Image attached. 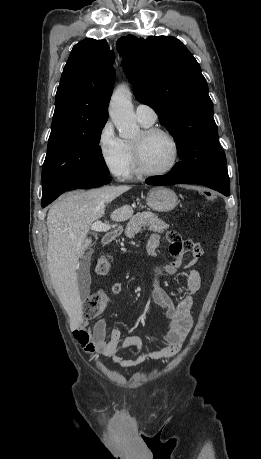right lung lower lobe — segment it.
<instances>
[{"label": "right lung lower lobe", "instance_id": "98d812e1", "mask_svg": "<svg viewBox=\"0 0 261 459\" xmlns=\"http://www.w3.org/2000/svg\"><path fill=\"white\" fill-rule=\"evenodd\" d=\"M111 181L109 177H97V178H84L78 179L72 182H69L63 186H61L56 192L52 195L42 199V207H46L52 201H54L58 196L68 190L78 189V188H94L98 186H102L108 184Z\"/></svg>", "mask_w": 261, "mask_h": 459}]
</instances>
